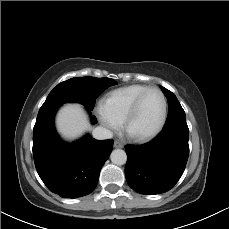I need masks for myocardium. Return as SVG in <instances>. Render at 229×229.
Returning a JSON list of instances; mask_svg holds the SVG:
<instances>
[{
  "mask_svg": "<svg viewBox=\"0 0 229 229\" xmlns=\"http://www.w3.org/2000/svg\"><path fill=\"white\" fill-rule=\"evenodd\" d=\"M150 92H158L161 97H162V101H163V110H162V115H161V119L159 121V123L157 124V126L150 132L145 133V134H133L129 131V127L130 124L134 118V116L137 113V110L139 108V105L141 103V101L143 100V98ZM167 113H168V103H167V99L164 95V93L156 87H150L147 90L143 91L142 93H140L132 102V104L130 105L127 114L123 120V134L129 138L130 140L136 141V142H144V141H148L153 139L154 137H156L164 128L166 120H167Z\"/></svg>",
  "mask_w": 229,
  "mask_h": 229,
  "instance_id": "f54148a6",
  "label": "myocardium"
}]
</instances>
